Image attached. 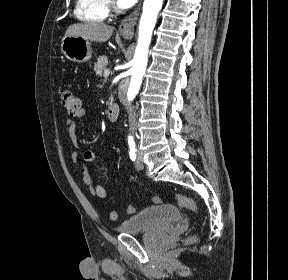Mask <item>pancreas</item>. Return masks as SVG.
<instances>
[{
	"label": "pancreas",
	"mask_w": 288,
	"mask_h": 280,
	"mask_svg": "<svg viewBox=\"0 0 288 280\" xmlns=\"http://www.w3.org/2000/svg\"><path fill=\"white\" fill-rule=\"evenodd\" d=\"M108 59L106 56H100L94 64V71L97 76H102L104 71L107 69ZM113 102V98L110 97V103Z\"/></svg>",
	"instance_id": "cf45deb5"
}]
</instances>
